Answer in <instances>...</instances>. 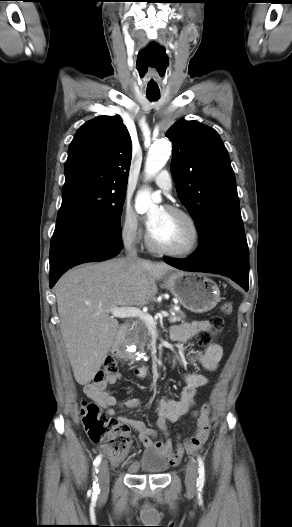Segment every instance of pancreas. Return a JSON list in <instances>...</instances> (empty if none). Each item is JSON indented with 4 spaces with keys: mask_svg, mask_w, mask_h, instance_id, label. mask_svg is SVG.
Listing matches in <instances>:
<instances>
[{
    "mask_svg": "<svg viewBox=\"0 0 292 527\" xmlns=\"http://www.w3.org/2000/svg\"><path fill=\"white\" fill-rule=\"evenodd\" d=\"M169 312L174 313V315L171 314L168 319L170 323L183 322L186 317L185 313L181 310L171 308ZM149 336L150 332L148 331L146 324L143 321H136L132 330L127 335V342L135 344L143 349Z\"/></svg>",
    "mask_w": 292,
    "mask_h": 527,
    "instance_id": "obj_1",
    "label": "pancreas"
}]
</instances>
